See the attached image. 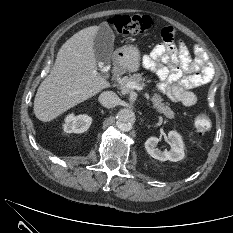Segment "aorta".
I'll use <instances>...</instances> for the list:
<instances>
[{"label":"aorta","instance_id":"aorta-1","mask_svg":"<svg viewBox=\"0 0 233 233\" xmlns=\"http://www.w3.org/2000/svg\"><path fill=\"white\" fill-rule=\"evenodd\" d=\"M135 114L130 109H121L117 114V127L122 131H129L135 122Z\"/></svg>","mask_w":233,"mask_h":233}]
</instances>
